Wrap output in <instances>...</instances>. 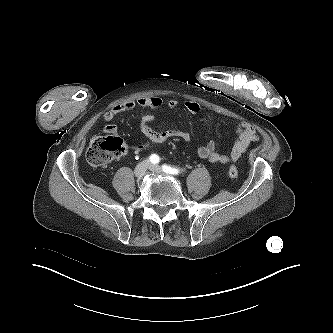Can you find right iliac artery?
Masks as SVG:
<instances>
[{"mask_svg":"<svg viewBox=\"0 0 333 333\" xmlns=\"http://www.w3.org/2000/svg\"><path fill=\"white\" fill-rule=\"evenodd\" d=\"M149 160L151 163L153 164H158L160 162V158L158 155L156 154H152L150 157H149Z\"/></svg>","mask_w":333,"mask_h":333,"instance_id":"1","label":"right iliac artery"}]
</instances>
